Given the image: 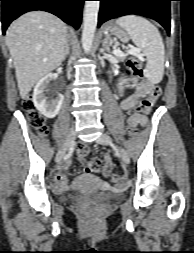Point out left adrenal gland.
I'll use <instances>...</instances> for the list:
<instances>
[{"mask_svg": "<svg viewBox=\"0 0 194 253\" xmlns=\"http://www.w3.org/2000/svg\"><path fill=\"white\" fill-rule=\"evenodd\" d=\"M102 47L105 51H107L108 53H110V36L107 35L104 40H103V43H102Z\"/></svg>", "mask_w": 194, "mask_h": 253, "instance_id": "left-adrenal-gland-1", "label": "left adrenal gland"}]
</instances>
